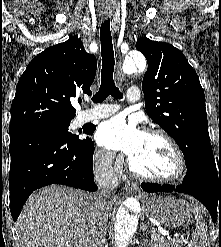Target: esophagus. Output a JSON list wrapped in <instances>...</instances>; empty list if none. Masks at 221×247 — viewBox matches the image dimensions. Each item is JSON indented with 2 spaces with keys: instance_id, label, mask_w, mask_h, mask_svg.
Returning <instances> with one entry per match:
<instances>
[{
  "instance_id": "34e87169",
  "label": "esophagus",
  "mask_w": 221,
  "mask_h": 247,
  "mask_svg": "<svg viewBox=\"0 0 221 247\" xmlns=\"http://www.w3.org/2000/svg\"><path fill=\"white\" fill-rule=\"evenodd\" d=\"M124 189L126 191H135V192L139 191L138 185L134 182H129V181L125 183Z\"/></svg>"
}]
</instances>
